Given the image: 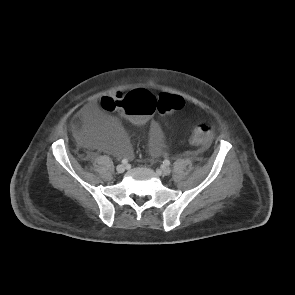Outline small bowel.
<instances>
[{
  "label": "small bowel",
  "mask_w": 295,
  "mask_h": 295,
  "mask_svg": "<svg viewBox=\"0 0 295 295\" xmlns=\"http://www.w3.org/2000/svg\"><path fill=\"white\" fill-rule=\"evenodd\" d=\"M77 120L80 127L93 139L102 129L115 128V122L106 118L100 108L94 105L84 106L79 112ZM149 145L152 155L156 156L161 152V130L155 122L150 124ZM114 150L129 158L133 155L131 147L125 141H122Z\"/></svg>",
  "instance_id": "obj_1"
}]
</instances>
